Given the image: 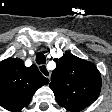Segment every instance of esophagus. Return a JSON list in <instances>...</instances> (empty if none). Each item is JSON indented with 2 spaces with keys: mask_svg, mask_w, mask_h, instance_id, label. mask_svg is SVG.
Instances as JSON below:
<instances>
[{
  "mask_svg": "<svg viewBox=\"0 0 112 112\" xmlns=\"http://www.w3.org/2000/svg\"><path fill=\"white\" fill-rule=\"evenodd\" d=\"M40 70H41V72H42L43 74H45L46 77L50 78L51 73H50V71L47 69L46 66L41 65V66H40Z\"/></svg>",
  "mask_w": 112,
  "mask_h": 112,
  "instance_id": "obj_1",
  "label": "esophagus"
}]
</instances>
